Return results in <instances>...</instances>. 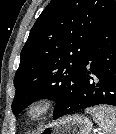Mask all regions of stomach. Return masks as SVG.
I'll return each mask as SVG.
<instances>
[{
    "mask_svg": "<svg viewBox=\"0 0 116 134\" xmlns=\"http://www.w3.org/2000/svg\"><path fill=\"white\" fill-rule=\"evenodd\" d=\"M91 121L80 115H70L55 120L44 128L38 134H91Z\"/></svg>",
    "mask_w": 116,
    "mask_h": 134,
    "instance_id": "0dacf381",
    "label": "stomach"
}]
</instances>
